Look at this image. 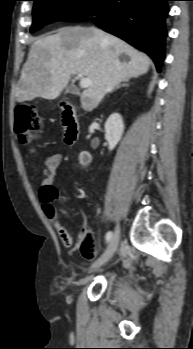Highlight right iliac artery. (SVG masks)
<instances>
[{"label": "right iliac artery", "mask_w": 193, "mask_h": 349, "mask_svg": "<svg viewBox=\"0 0 193 349\" xmlns=\"http://www.w3.org/2000/svg\"><path fill=\"white\" fill-rule=\"evenodd\" d=\"M111 238H112V232L109 231V232H107V234H106V242H109V241L111 240Z\"/></svg>", "instance_id": "1"}]
</instances>
